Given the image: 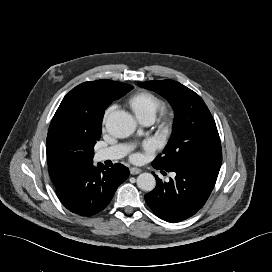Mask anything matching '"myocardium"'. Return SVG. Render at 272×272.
I'll return each mask as SVG.
<instances>
[{
	"label": "myocardium",
	"mask_w": 272,
	"mask_h": 272,
	"mask_svg": "<svg viewBox=\"0 0 272 272\" xmlns=\"http://www.w3.org/2000/svg\"><path fill=\"white\" fill-rule=\"evenodd\" d=\"M160 112V124L162 127L168 128L174 120V110L169 106H162Z\"/></svg>",
	"instance_id": "obj_1"
}]
</instances>
